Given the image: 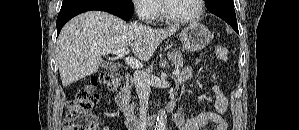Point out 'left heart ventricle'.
<instances>
[{"label": "left heart ventricle", "mask_w": 299, "mask_h": 130, "mask_svg": "<svg viewBox=\"0 0 299 130\" xmlns=\"http://www.w3.org/2000/svg\"><path fill=\"white\" fill-rule=\"evenodd\" d=\"M168 10L171 15L177 17L189 16L196 12V0H171L168 2Z\"/></svg>", "instance_id": "obj_1"}]
</instances>
